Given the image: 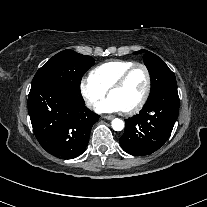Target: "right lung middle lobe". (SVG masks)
<instances>
[{
    "label": "right lung middle lobe",
    "instance_id": "obj_1",
    "mask_svg": "<svg viewBox=\"0 0 207 207\" xmlns=\"http://www.w3.org/2000/svg\"><path fill=\"white\" fill-rule=\"evenodd\" d=\"M90 56L70 49L59 52L42 66L33 78L31 87L41 84H56L80 93L82 76L94 64Z\"/></svg>",
    "mask_w": 207,
    "mask_h": 207
}]
</instances>
